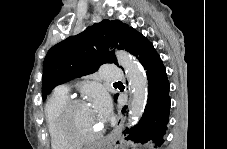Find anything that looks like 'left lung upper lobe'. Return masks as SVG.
Masks as SVG:
<instances>
[{
    "label": "left lung upper lobe",
    "instance_id": "left-lung-upper-lobe-1",
    "mask_svg": "<svg viewBox=\"0 0 227 149\" xmlns=\"http://www.w3.org/2000/svg\"><path fill=\"white\" fill-rule=\"evenodd\" d=\"M132 31L120 21L103 20L52 47L43 63V100L59 84L96 72L104 63L117 64L109 48L127 50Z\"/></svg>",
    "mask_w": 227,
    "mask_h": 149
}]
</instances>
